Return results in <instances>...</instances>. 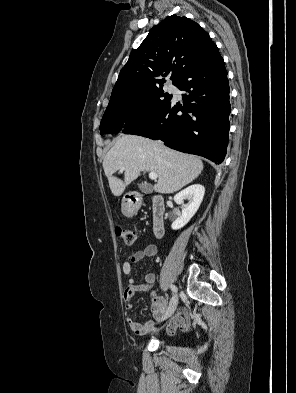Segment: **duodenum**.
<instances>
[{
  "label": "duodenum",
  "mask_w": 296,
  "mask_h": 393,
  "mask_svg": "<svg viewBox=\"0 0 296 393\" xmlns=\"http://www.w3.org/2000/svg\"><path fill=\"white\" fill-rule=\"evenodd\" d=\"M141 196L139 193H132L127 196L126 203L132 212H136L140 206ZM164 215L165 202L161 195L152 198V227L157 237L164 235Z\"/></svg>",
  "instance_id": "obj_1"
}]
</instances>
